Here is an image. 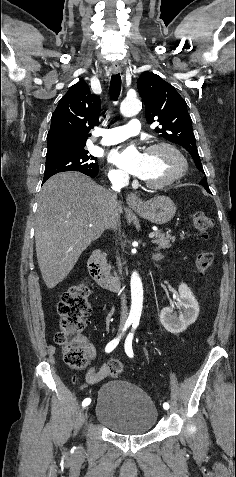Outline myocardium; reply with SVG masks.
I'll return each instance as SVG.
<instances>
[{
    "instance_id": "f54148a6",
    "label": "myocardium",
    "mask_w": 236,
    "mask_h": 477,
    "mask_svg": "<svg viewBox=\"0 0 236 477\" xmlns=\"http://www.w3.org/2000/svg\"><path fill=\"white\" fill-rule=\"evenodd\" d=\"M161 148L167 149L179 160L180 169L174 175L169 177L168 179L160 181V182H151V181H147V180L143 179V183L145 184V186H147L149 188H153V189H162V188H165V187H168V186L174 184L175 182L179 181L183 176H185V174L188 171V161H187L186 157L172 143H169V142L153 143V144H151L150 146L147 147L146 153L150 152V151H153V150H156V149H161Z\"/></svg>"
}]
</instances>
